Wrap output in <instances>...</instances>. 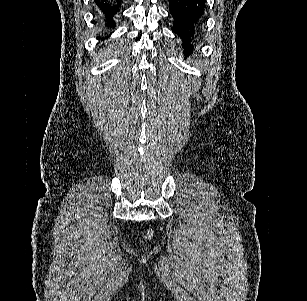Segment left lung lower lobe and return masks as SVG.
<instances>
[{"instance_id": "1", "label": "left lung lower lobe", "mask_w": 307, "mask_h": 301, "mask_svg": "<svg viewBox=\"0 0 307 301\" xmlns=\"http://www.w3.org/2000/svg\"><path fill=\"white\" fill-rule=\"evenodd\" d=\"M174 19L172 30L182 38L183 48L189 49L190 42L203 22L206 0H169Z\"/></svg>"}]
</instances>
